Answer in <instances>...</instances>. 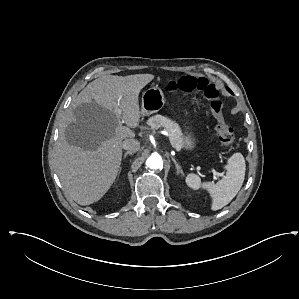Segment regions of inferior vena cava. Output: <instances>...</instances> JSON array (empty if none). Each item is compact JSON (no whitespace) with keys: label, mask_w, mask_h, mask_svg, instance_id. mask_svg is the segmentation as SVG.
Listing matches in <instances>:
<instances>
[{"label":"inferior vena cava","mask_w":299,"mask_h":299,"mask_svg":"<svg viewBox=\"0 0 299 299\" xmlns=\"http://www.w3.org/2000/svg\"><path fill=\"white\" fill-rule=\"evenodd\" d=\"M122 148L129 152H136L140 148V143L136 139H125L122 143Z\"/></svg>","instance_id":"602c4592"}]
</instances>
